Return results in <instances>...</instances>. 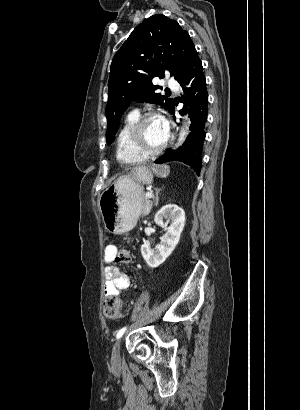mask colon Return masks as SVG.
<instances>
[{"mask_svg":"<svg viewBox=\"0 0 300 410\" xmlns=\"http://www.w3.org/2000/svg\"><path fill=\"white\" fill-rule=\"evenodd\" d=\"M117 263H128L130 261V251L127 247H120L115 252ZM122 301L115 295L110 294L104 300L103 313L108 319H117L121 315Z\"/></svg>","mask_w":300,"mask_h":410,"instance_id":"colon-1","label":"colon"}]
</instances>
